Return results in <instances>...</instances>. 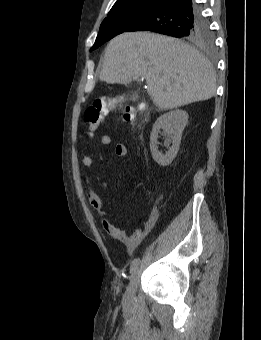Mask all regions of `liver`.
I'll return each mask as SVG.
<instances>
[{
  "instance_id": "1",
  "label": "liver",
  "mask_w": 261,
  "mask_h": 340,
  "mask_svg": "<svg viewBox=\"0 0 261 340\" xmlns=\"http://www.w3.org/2000/svg\"><path fill=\"white\" fill-rule=\"evenodd\" d=\"M139 77L160 110L208 100L216 92L214 68L196 49L155 33H122L107 45L99 79L127 85Z\"/></svg>"
}]
</instances>
